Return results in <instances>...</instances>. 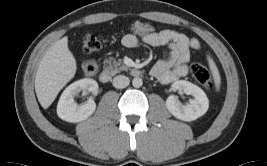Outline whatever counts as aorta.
<instances>
[{
  "label": "aorta",
  "mask_w": 267,
  "mask_h": 166,
  "mask_svg": "<svg viewBox=\"0 0 267 166\" xmlns=\"http://www.w3.org/2000/svg\"><path fill=\"white\" fill-rule=\"evenodd\" d=\"M132 85L135 87V88H139L143 85V81L141 78L139 77H135L133 78L132 80Z\"/></svg>",
  "instance_id": "obj_1"
}]
</instances>
